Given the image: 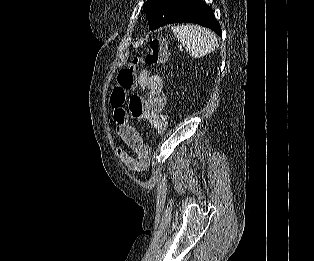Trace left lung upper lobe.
<instances>
[{"mask_svg": "<svg viewBox=\"0 0 314 261\" xmlns=\"http://www.w3.org/2000/svg\"><path fill=\"white\" fill-rule=\"evenodd\" d=\"M184 0H147L143 5L151 30L166 25Z\"/></svg>", "mask_w": 314, "mask_h": 261, "instance_id": "1", "label": "left lung upper lobe"}]
</instances>
